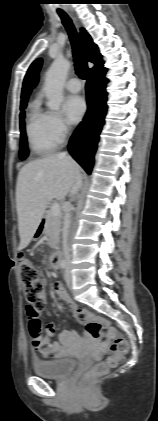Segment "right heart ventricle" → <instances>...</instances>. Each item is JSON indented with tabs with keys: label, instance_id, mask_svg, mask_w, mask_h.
<instances>
[{
	"label": "right heart ventricle",
	"instance_id": "right-heart-ventricle-1",
	"mask_svg": "<svg viewBox=\"0 0 158 421\" xmlns=\"http://www.w3.org/2000/svg\"><path fill=\"white\" fill-rule=\"evenodd\" d=\"M26 134L31 150L37 155L50 153L57 146L49 129V114L38 104H34L29 112Z\"/></svg>",
	"mask_w": 158,
	"mask_h": 421
}]
</instances>
